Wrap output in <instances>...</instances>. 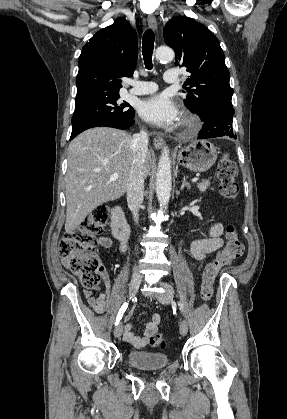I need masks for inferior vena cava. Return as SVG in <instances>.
<instances>
[{
    "instance_id": "602c4592",
    "label": "inferior vena cava",
    "mask_w": 287,
    "mask_h": 419,
    "mask_svg": "<svg viewBox=\"0 0 287 419\" xmlns=\"http://www.w3.org/2000/svg\"><path fill=\"white\" fill-rule=\"evenodd\" d=\"M148 141L147 132L141 130L140 133L133 135L131 142L134 156L127 186V202L136 223L139 219V208L143 202L145 178L144 163L148 150ZM133 274L138 277L140 276L135 269Z\"/></svg>"
}]
</instances>
